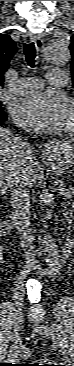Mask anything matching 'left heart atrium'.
Listing matches in <instances>:
<instances>
[{"instance_id": "obj_1", "label": "left heart atrium", "mask_w": 74, "mask_h": 366, "mask_svg": "<svg viewBox=\"0 0 74 366\" xmlns=\"http://www.w3.org/2000/svg\"><path fill=\"white\" fill-rule=\"evenodd\" d=\"M11 112L21 126L36 131H59L69 121L70 104L59 92L46 91L16 100Z\"/></svg>"}]
</instances>
